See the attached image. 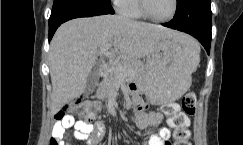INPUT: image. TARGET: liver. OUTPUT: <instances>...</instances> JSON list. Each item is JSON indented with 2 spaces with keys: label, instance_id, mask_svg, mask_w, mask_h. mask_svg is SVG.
<instances>
[{
  "label": "liver",
  "instance_id": "6515ba94",
  "mask_svg": "<svg viewBox=\"0 0 243 145\" xmlns=\"http://www.w3.org/2000/svg\"><path fill=\"white\" fill-rule=\"evenodd\" d=\"M188 41V35L119 15L77 18L56 31L49 52L52 83L51 111L81 95L88 75L96 64L97 52L107 44L131 60L145 57L160 38Z\"/></svg>",
  "mask_w": 243,
  "mask_h": 145
}]
</instances>
